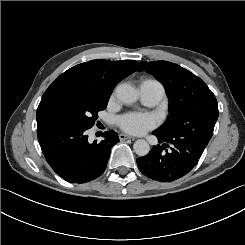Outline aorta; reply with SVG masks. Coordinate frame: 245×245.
<instances>
[{"label": "aorta", "mask_w": 245, "mask_h": 245, "mask_svg": "<svg viewBox=\"0 0 245 245\" xmlns=\"http://www.w3.org/2000/svg\"><path fill=\"white\" fill-rule=\"evenodd\" d=\"M116 96L121 102L125 104H131L138 98L134 88L128 84H120L116 88ZM133 149L137 155L145 156L149 153L150 146L147 141L139 139L134 142Z\"/></svg>", "instance_id": "aorta-1"}]
</instances>
